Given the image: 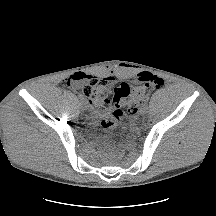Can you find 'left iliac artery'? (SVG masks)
<instances>
[{
	"mask_svg": "<svg viewBox=\"0 0 216 216\" xmlns=\"http://www.w3.org/2000/svg\"><path fill=\"white\" fill-rule=\"evenodd\" d=\"M149 102H150V98H149V97H146L145 100H144V103H145V104H148Z\"/></svg>",
	"mask_w": 216,
	"mask_h": 216,
	"instance_id": "left-iliac-artery-1",
	"label": "left iliac artery"
}]
</instances>
